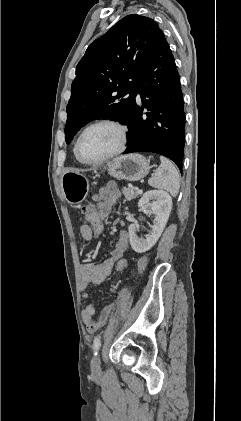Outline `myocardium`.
Segmentation results:
<instances>
[{"instance_id": "myocardium-1", "label": "myocardium", "mask_w": 241, "mask_h": 421, "mask_svg": "<svg viewBox=\"0 0 241 421\" xmlns=\"http://www.w3.org/2000/svg\"><path fill=\"white\" fill-rule=\"evenodd\" d=\"M100 125H109V126H112V127L117 129V131L119 133L118 146L113 151H111L107 155H105V156H103V157H101L97 160H93V161L86 160L81 155V151H80L81 140L88 130H90L91 128L96 127V126H100ZM127 141H128V129L123 123H121L117 120H114V119H100V120H97V121H94V122L90 123L89 125H87L81 131V133L79 134V136L76 140V143H75V153H76V156H77V158L80 162H82L84 164H87V165H99V164H102V163L118 156L119 154H121L126 148Z\"/></svg>"}]
</instances>
